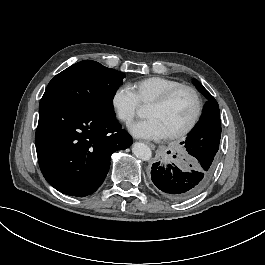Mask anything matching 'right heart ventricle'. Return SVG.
Returning a JSON list of instances; mask_svg holds the SVG:
<instances>
[{
  "instance_id": "e07e8e85",
  "label": "right heart ventricle",
  "mask_w": 265,
  "mask_h": 265,
  "mask_svg": "<svg viewBox=\"0 0 265 265\" xmlns=\"http://www.w3.org/2000/svg\"><path fill=\"white\" fill-rule=\"evenodd\" d=\"M179 81L161 76H152L133 82L130 86L140 105L148 106L170 90L182 86Z\"/></svg>"
}]
</instances>
